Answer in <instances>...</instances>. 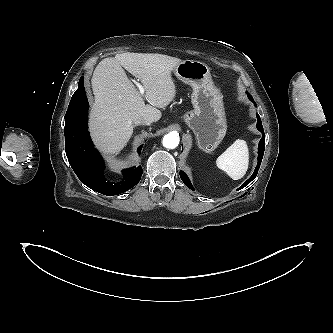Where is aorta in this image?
<instances>
[{"instance_id": "1", "label": "aorta", "mask_w": 333, "mask_h": 333, "mask_svg": "<svg viewBox=\"0 0 333 333\" xmlns=\"http://www.w3.org/2000/svg\"><path fill=\"white\" fill-rule=\"evenodd\" d=\"M179 144V135L176 132H170L163 137V146L168 149H174Z\"/></svg>"}]
</instances>
